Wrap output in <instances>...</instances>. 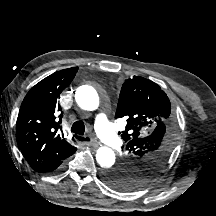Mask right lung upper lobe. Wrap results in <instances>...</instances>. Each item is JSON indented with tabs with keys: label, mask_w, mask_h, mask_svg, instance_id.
<instances>
[{
	"label": "right lung upper lobe",
	"mask_w": 216,
	"mask_h": 216,
	"mask_svg": "<svg viewBox=\"0 0 216 216\" xmlns=\"http://www.w3.org/2000/svg\"><path fill=\"white\" fill-rule=\"evenodd\" d=\"M77 71L78 67H73L51 74L36 84L21 104L17 140L23 156L37 172L60 165L76 151L61 133L63 115L58 97Z\"/></svg>",
	"instance_id": "1"
}]
</instances>
